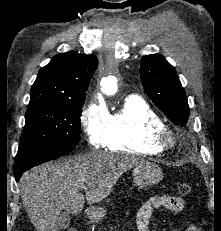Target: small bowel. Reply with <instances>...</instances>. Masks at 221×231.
I'll use <instances>...</instances> for the list:
<instances>
[{"mask_svg": "<svg viewBox=\"0 0 221 231\" xmlns=\"http://www.w3.org/2000/svg\"><path fill=\"white\" fill-rule=\"evenodd\" d=\"M165 208L174 212H180L184 208V201L177 196H155L140 206L136 214L138 231H150V218L155 209ZM186 231H200L198 226L191 224Z\"/></svg>", "mask_w": 221, "mask_h": 231, "instance_id": "c3829d8e", "label": "small bowel"}]
</instances>
